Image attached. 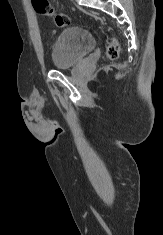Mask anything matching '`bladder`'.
<instances>
[{
  "label": "bladder",
  "mask_w": 163,
  "mask_h": 235,
  "mask_svg": "<svg viewBox=\"0 0 163 235\" xmlns=\"http://www.w3.org/2000/svg\"><path fill=\"white\" fill-rule=\"evenodd\" d=\"M96 46L93 33L79 27L64 29L52 48V64L55 69H69L78 65Z\"/></svg>",
  "instance_id": "bladder-1"
}]
</instances>
